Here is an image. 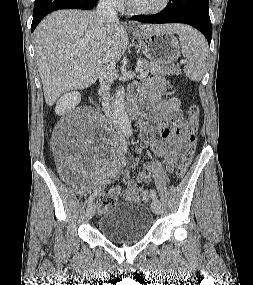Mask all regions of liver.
<instances>
[{
  "mask_svg": "<svg viewBox=\"0 0 253 285\" xmlns=\"http://www.w3.org/2000/svg\"><path fill=\"white\" fill-rule=\"evenodd\" d=\"M142 31L179 33L180 24H138ZM129 43L119 23L97 19L94 11L59 10L45 17L34 31L38 71L47 105L65 92L94 84L105 55L118 61Z\"/></svg>",
  "mask_w": 253,
  "mask_h": 285,
  "instance_id": "obj_1",
  "label": "liver"
}]
</instances>
